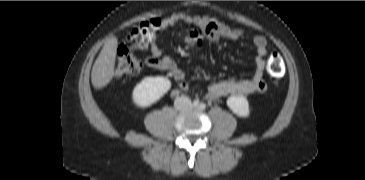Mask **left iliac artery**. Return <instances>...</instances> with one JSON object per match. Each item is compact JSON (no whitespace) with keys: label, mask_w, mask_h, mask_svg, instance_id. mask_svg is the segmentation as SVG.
I'll use <instances>...</instances> for the list:
<instances>
[{"label":"left iliac artery","mask_w":365,"mask_h":180,"mask_svg":"<svg viewBox=\"0 0 365 180\" xmlns=\"http://www.w3.org/2000/svg\"><path fill=\"white\" fill-rule=\"evenodd\" d=\"M206 108V105L204 104V103H201L200 105H199V109L200 110H204Z\"/></svg>","instance_id":"left-iliac-artery-1"}]
</instances>
